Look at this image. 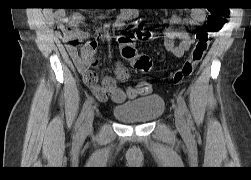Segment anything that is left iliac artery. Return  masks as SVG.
Returning a JSON list of instances; mask_svg holds the SVG:
<instances>
[{
	"label": "left iliac artery",
	"mask_w": 251,
	"mask_h": 180,
	"mask_svg": "<svg viewBox=\"0 0 251 180\" xmlns=\"http://www.w3.org/2000/svg\"><path fill=\"white\" fill-rule=\"evenodd\" d=\"M177 103H178V106H179L180 110L182 111V113L185 114V116H186L187 124L191 125L192 124L191 116L188 111V108H187V105H186L184 98L182 96L178 95Z\"/></svg>",
	"instance_id": "44dca946"
}]
</instances>
